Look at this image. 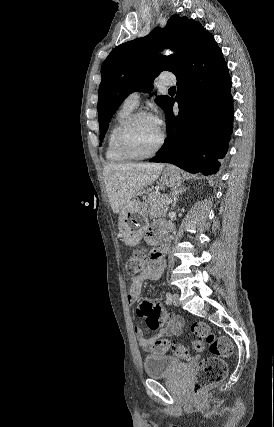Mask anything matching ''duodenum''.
<instances>
[{"label":"duodenum","mask_w":274,"mask_h":427,"mask_svg":"<svg viewBox=\"0 0 274 427\" xmlns=\"http://www.w3.org/2000/svg\"><path fill=\"white\" fill-rule=\"evenodd\" d=\"M168 229L165 228L160 236H159V240L158 243L156 245V247L152 250L151 252V259L154 262H158L162 259L163 255L165 254L166 250H167V240H166V233H167Z\"/></svg>","instance_id":"410a0bca"}]
</instances>
